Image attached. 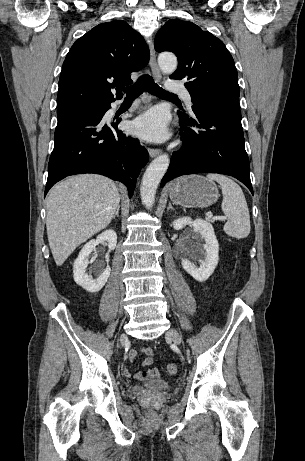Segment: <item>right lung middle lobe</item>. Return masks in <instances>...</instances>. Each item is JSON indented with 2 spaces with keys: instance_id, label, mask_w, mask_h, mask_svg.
I'll return each mask as SVG.
<instances>
[{
  "instance_id": "1",
  "label": "right lung middle lobe",
  "mask_w": 305,
  "mask_h": 461,
  "mask_svg": "<svg viewBox=\"0 0 305 461\" xmlns=\"http://www.w3.org/2000/svg\"><path fill=\"white\" fill-rule=\"evenodd\" d=\"M106 104H85V105H80V106H74L70 108H83V107H88V108H93V109H100L104 108Z\"/></svg>"
}]
</instances>
